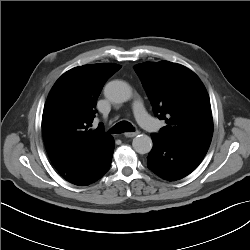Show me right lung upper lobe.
Listing matches in <instances>:
<instances>
[{
  "label": "right lung upper lobe",
  "instance_id": "cb5924a9",
  "mask_svg": "<svg viewBox=\"0 0 250 250\" xmlns=\"http://www.w3.org/2000/svg\"><path fill=\"white\" fill-rule=\"evenodd\" d=\"M121 68L113 63L75 67L54 84L45 103L42 133L49 158L65 170L103 146L112 136L92 126L97 98L103 85Z\"/></svg>",
  "mask_w": 250,
  "mask_h": 250
}]
</instances>
